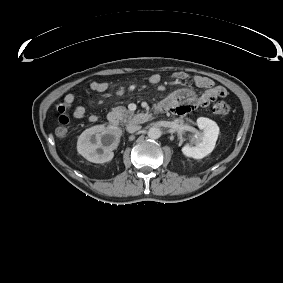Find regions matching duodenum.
<instances>
[{
  "label": "duodenum",
  "instance_id": "1",
  "mask_svg": "<svg viewBox=\"0 0 283 283\" xmlns=\"http://www.w3.org/2000/svg\"><path fill=\"white\" fill-rule=\"evenodd\" d=\"M160 107L163 108V106H162L161 104H160ZM107 122H108L111 126L115 127V126H117V124H118V119H117V117L114 116V115H109V116L107 117Z\"/></svg>",
  "mask_w": 283,
  "mask_h": 283
}]
</instances>
